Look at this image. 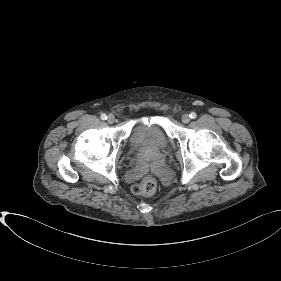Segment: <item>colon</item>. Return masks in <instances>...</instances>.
I'll return each instance as SVG.
<instances>
[{
  "instance_id": "colon-1",
  "label": "colon",
  "mask_w": 281,
  "mask_h": 281,
  "mask_svg": "<svg viewBox=\"0 0 281 281\" xmlns=\"http://www.w3.org/2000/svg\"><path fill=\"white\" fill-rule=\"evenodd\" d=\"M156 187V178L153 174H147L143 181L134 185L131 189V192L135 196H146L151 194Z\"/></svg>"
}]
</instances>
